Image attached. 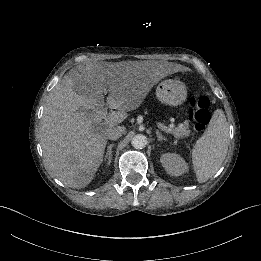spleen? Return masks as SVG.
I'll return each mask as SVG.
<instances>
[{
	"mask_svg": "<svg viewBox=\"0 0 261 261\" xmlns=\"http://www.w3.org/2000/svg\"><path fill=\"white\" fill-rule=\"evenodd\" d=\"M228 143L229 126L223 110L217 109L192 151L193 168L199 183L208 181L220 169L226 158Z\"/></svg>",
	"mask_w": 261,
	"mask_h": 261,
	"instance_id": "obj_1",
	"label": "spleen"
}]
</instances>
